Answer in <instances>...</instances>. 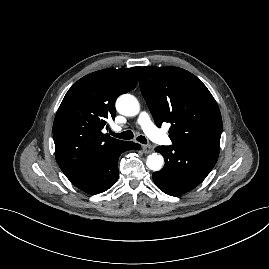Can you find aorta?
I'll use <instances>...</instances> for the list:
<instances>
[{"label": "aorta", "mask_w": 269, "mask_h": 269, "mask_svg": "<svg viewBox=\"0 0 269 269\" xmlns=\"http://www.w3.org/2000/svg\"><path fill=\"white\" fill-rule=\"evenodd\" d=\"M117 111L125 116H135L140 111L138 100L130 94L121 95L116 101ZM147 167L152 171H160L164 165V158L161 154L152 153L146 160Z\"/></svg>", "instance_id": "1"}]
</instances>
